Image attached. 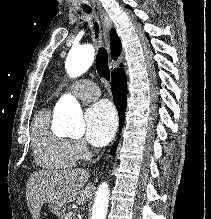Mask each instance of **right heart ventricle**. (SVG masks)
<instances>
[{
    "label": "right heart ventricle",
    "mask_w": 211,
    "mask_h": 219,
    "mask_svg": "<svg viewBox=\"0 0 211 219\" xmlns=\"http://www.w3.org/2000/svg\"><path fill=\"white\" fill-rule=\"evenodd\" d=\"M32 148L37 164L43 168L72 167L78 159L72 150L70 140L50 129V115L46 109L39 111L34 119Z\"/></svg>",
    "instance_id": "e07e8e85"
}]
</instances>
